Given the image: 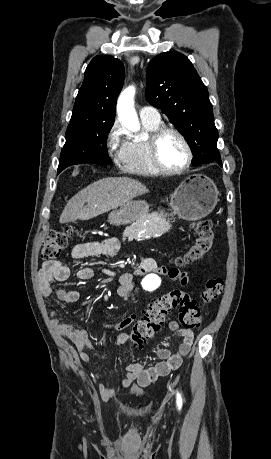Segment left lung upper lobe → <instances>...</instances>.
Here are the masks:
<instances>
[{"label":"left lung upper lobe","instance_id":"5c2ea615","mask_svg":"<svg viewBox=\"0 0 271 459\" xmlns=\"http://www.w3.org/2000/svg\"><path fill=\"white\" fill-rule=\"evenodd\" d=\"M146 99L161 109L187 139L193 166L221 160L208 91L186 56L164 52L151 60Z\"/></svg>","mask_w":271,"mask_h":459}]
</instances>
